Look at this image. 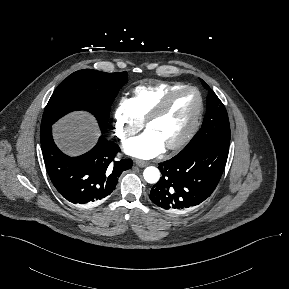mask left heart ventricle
<instances>
[{
    "label": "left heart ventricle",
    "mask_w": 289,
    "mask_h": 289,
    "mask_svg": "<svg viewBox=\"0 0 289 289\" xmlns=\"http://www.w3.org/2000/svg\"><path fill=\"white\" fill-rule=\"evenodd\" d=\"M198 108V97L192 91L177 95L165 113L148 129L165 146L180 140L191 126Z\"/></svg>",
    "instance_id": "b2bd125f"
}]
</instances>
